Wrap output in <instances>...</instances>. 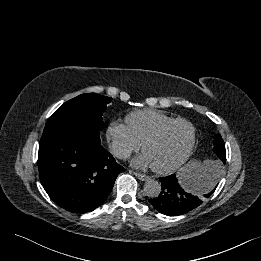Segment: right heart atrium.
Segmentation results:
<instances>
[{"label":"right heart atrium","instance_id":"d8ad5b80","mask_svg":"<svg viewBox=\"0 0 261 261\" xmlns=\"http://www.w3.org/2000/svg\"><path fill=\"white\" fill-rule=\"evenodd\" d=\"M105 137L111 152L120 159L128 158L141 147V144L135 139L128 127L116 121L109 123L105 131Z\"/></svg>","mask_w":261,"mask_h":261}]
</instances>
